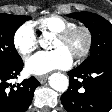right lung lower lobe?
<instances>
[{
    "label": "right lung lower lobe",
    "instance_id": "98d812e1",
    "mask_svg": "<svg viewBox=\"0 0 112 112\" xmlns=\"http://www.w3.org/2000/svg\"><path fill=\"white\" fill-rule=\"evenodd\" d=\"M23 68L22 59L0 70V112H25L30 106L34 90L40 85L35 77L21 84H11L9 80L17 78Z\"/></svg>",
    "mask_w": 112,
    "mask_h": 112
}]
</instances>
